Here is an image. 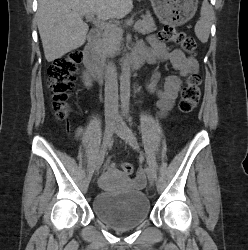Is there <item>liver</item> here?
Returning a JSON list of instances; mask_svg holds the SVG:
<instances>
[{
  "label": "liver",
  "instance_id": "6515ba94",
  "mask_svg": "<svg viewBox=\"0 0 248 250\" xmlns=\"http://www.w3.org/2000/svg\"><path fill=\"white\" fill-rule=\"evenodd\" d=\"M132 7V0H39L36 19L46 60L59 59L85 43L89 27L84 15L120 19Z\"/></svg>",
  "mask_w": 248,
  "mask_h": 250
}]
</instances>
